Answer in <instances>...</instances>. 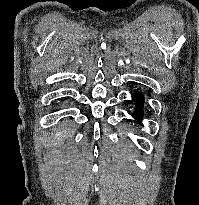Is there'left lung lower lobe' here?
<instances>
[{"instance_id":"0a47b994","label":"left lung lower lobe","mask_w":199,"mask_h":205,"mask_svg":"<svg viewBox=\"0 0 199 205\" xmlns=\"http://www.w3.org/2000/svg\"><path fill=\"white\" fill-rule=\"evenodd\" d=\"M132 97H133V100L135 101V103L137 105V109H136L135 113L133 114V117L137 120H141L142 117H143L142 104L144 102V98L140 94H135Z\"/></svg>"}]
</instances>
